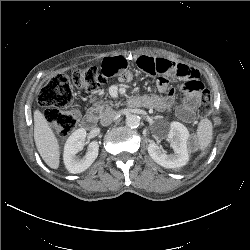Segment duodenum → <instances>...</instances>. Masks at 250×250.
<instances>
[{
	"label": "duodenum",
	"instance_id": "410a0bca",
	"mask_svg": "<svg viewBox=\"0 0 250 250\" xmlns=\"http://www.w3.org/2000/svg\"><path fill=\"white\" fill-rule=\"evenodd\" d=\"M130 105L134 106L135 108L140 106L136 103V98L130 101ZM82 125L87 129H93L95 127V116L92 113L85 114L82 119Z\"/></svg>",
	"mask_w": 250,
	"mask_h": 250
}]
</instances>
